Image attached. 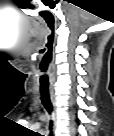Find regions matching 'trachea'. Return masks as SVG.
<instances>
[{"mask_svg":"<svg viewBox=\"0 0 114 136\" xmlns=\"http://www.w3.org/2000/svg\"><path fill=\"white\" fill-rule=\"evenodd\" d=\"M45 71V70H44ZM49 81L48 76L45 75L43 79L40 81V94H41V101L45 109L49 114L52 112V103L50 99V92H49ZM50 130L52 129V121H50Z\"/></svg>","mask_w":114,"mask_h":136,"instance_id":"obj_1","label":"trachea"}]
</instances>
